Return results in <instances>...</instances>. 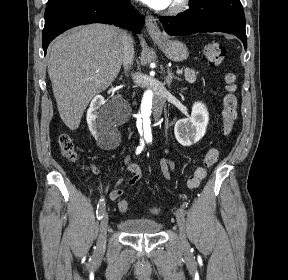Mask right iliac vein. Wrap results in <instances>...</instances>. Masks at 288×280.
I'll use <instances>...</instances> for the list:
<instances>
[{
  "instance_id": "63e3f726",
  "label": "right iliac vein",
  "mask_w": 288,
  "mask_h": 280,
  "mask_svg": "<svg viewBox=\"0 0 288 280\" xmlns=\"http://www.w3.org/2000/svg\"><path fill=\"white\" fill-rule=\"evenodd\" d=\"M107 228H108V214L105 212L99 226L97 253H101L105 248Z\"/></svg>"
}]
</instances>
